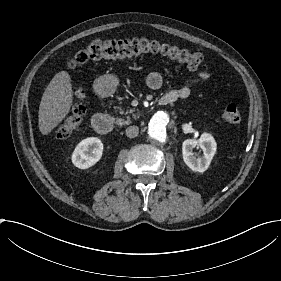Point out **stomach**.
<instances>
[{
    "instance_id": "stomach-1",
    "label": "stomach",
    "mask_w": 281,
    "mask_h": 281,
    "mask_svg": "<svg viewBox=\"0 0 281 281\" xmlns=\"http://www.w3.org/2000/svg\"><path fill=\"white\" fill-rule=\"evenodd\" d=\"M97 83L99 84V94L111 95L117 89L119 79L112 73H106L97 78Z\"/></svg>"
}]
</instances>
